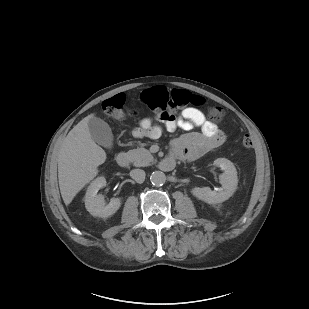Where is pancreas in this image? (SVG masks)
I'll return each instance as SVG.
<instances>
[{
  "mask_svg": "<svg viewBox=\"0 0 309 309\" xmlns=\"http://www.w3.org/2000/svg\"><path fill=\"white\" fill-rule=\"evenodd\" d=\"M131 162L136 167H144L150 165L154 161V157L145 148H137L127 152Z\"/></svg>",
  "mask_w": 309,
  "mask_h": 309,
  "instance_id": "cf45deb5",
  "label": "pancreas"
}]
</instances>
